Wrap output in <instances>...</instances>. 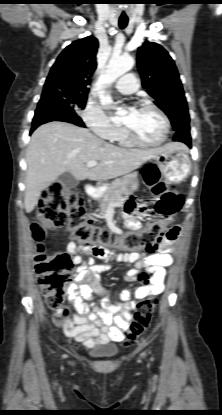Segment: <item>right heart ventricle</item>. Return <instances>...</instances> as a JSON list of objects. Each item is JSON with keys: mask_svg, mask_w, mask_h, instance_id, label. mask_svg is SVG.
<instances>
[{"mask_svg": "<svg viewBox=\"0 0 222 415\" xmlns=\"http://www.w3.org/2000/svg\"><path fill=\"white\" fill-rule=\"evenodd\" d=\"M113 141L119 143L120 145L123 146H132L133 143L128 139V137L126 136L124 130L121 128L118 133L116 134V136L114 137Z\"/></svg>", "mask_w": 222, "mask_h": 415, "instance_id": "e07e8e85", "label": "right heart ventricle"}]
</instances>
